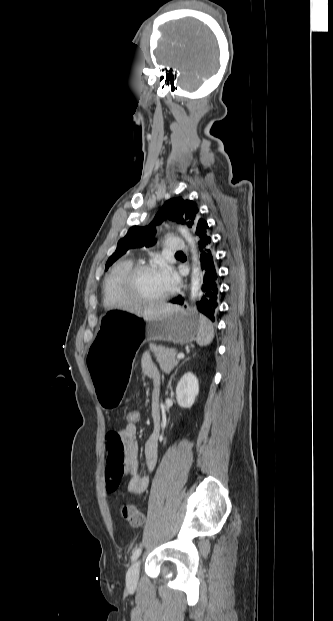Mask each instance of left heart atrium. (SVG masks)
Segmentation results:
<instances>
[{"label": "left heart atrium", "instance_id": "left-heart-atrium-1", "mask_svg": "<svg viewBox=\"0 0 333 621\" xmlns=\"http://www.w3.org/2000/svg\"><path fill=\"white\" fill-rule=\"evenodd\" d=\"M164 275L167 278V280H168V282H169L171 287L176 284L177 278H176L175 274L172 271L164 270Z\"/></svg>", "mask_w": 333, "mask_h": 621}]
</instances>
